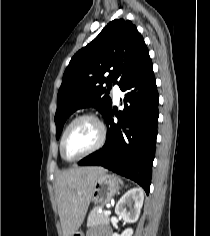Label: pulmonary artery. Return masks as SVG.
Here are the masks:
<instances>
[{"mask_svg":"<svg viewBox=\"0 0 210 236\" xmlns=\"http://www.w3.org/2000/svg\"><path fill=\"white\" fill-rule=\"evenodd\" d=\"M113 94H114L115 102H118L119 98L121 96V91H120L119 86L117 84H115L113 87Z\"/></svg>","mask_w":210,"mask_h":236,"instance_id":"pulmonary-artery-1","label":"pulmonary artery"}]
</instances>
